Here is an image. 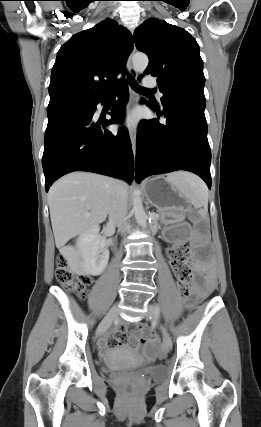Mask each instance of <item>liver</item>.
Wrapping results in <instances>:
<instances>
[{"instance_id":"liver-1","label":"liver","mask_w":261,"mask_h":427,"mask_svg":"<svg viewBox=\"0 0 261 427\" xmlns=\"http://www.w3.org/2000/svg\"><path fill=\"white\" fill-rule=\"evenodd\" d=\"M170 175L178 176L179 173ZM123 184L127 189L126 183ZM114 186L113 178L73 172L50 188L48 205L52 229L56 247L61 253L70 250L65 244L71 238L104 222L109 213Z\"/></svg>"}]
</instances>
